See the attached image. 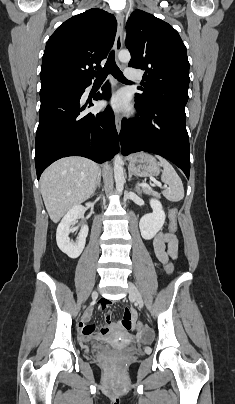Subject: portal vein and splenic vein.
Returning a JSON list of instances; mask_svg holds the SVG:
<instances>
[{"instance_id":"obj_1","label":"portal vein and splenic vein","mask_w":235,"mask_h":404,"mask_svg":"<svg viewBox=\"0 0 235 404\" xmlns=\"http://www.w3.org/2000/svg\"><path fill=\"white\" fill-rule=\"evenodd\" d=\"M139 186H140V187H144V188H148L149 190H152V188H151L148 184H146V183H142V184H140Z\"/></svg>"}]
</instances>
